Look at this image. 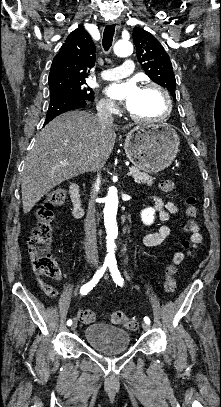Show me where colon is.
Here are the masks:
<instances>
[{
    "label": "colon",
    "instance_id": "5ec220e1",
    "mask_svg": "<svg viewBox=\"0 0 221 407\" xmlns=\"http://www.w3.org/2000/svg\"><path fill=\"white\" fill-rule=\"evenodd\" d=\"M160 188L164 192H170L174 187V182L169 178L160 181ZM66 201V191L63 188H53L44 197L36 210V223L32 229V235L28 240V251L34 272L42 277H56L58 273L57 265L51 255L50 245L53 240L52 222L54 218L53 209L62 206ZM185 217L187 220L196 215V199L189 196L186 199ZM184 231L189 233L191 227L188 223L182 225ZM183 249H188L187 239L181 241ZM182 261L177 258L165 268L164 290L171 294L177 288L175 278L176 267ZM77 318L82 324L93 323L96 319L94 311L89 309H80L77 312ZM109 318L112 323L121 325L129 330H137L139 321L134 317H128L124 312L116 310L109 312Z\"/></svg>",
    "mask_w": 221,
    "mask_h": 407
}]
</instances>
